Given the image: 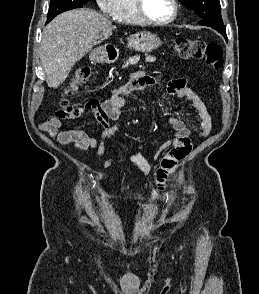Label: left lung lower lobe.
<instances>
[{
  "label": "left lung lower lobe",
  "instance_id": "left-lung-lower-lobe-1",
  "mask_svg": "<svg viewBox=\"0 0 259 294\" xmlns=\"http://www.w3.org/2000/svg\"><path fill=\"white\" fill-rule=\"evenodd\" d=\"M220 33L224 36V38L227 41V35H226V30L220 31Z\"/></svg>",
  "mask_w": 259,
  "mask_h": 294
}]
</instances>
